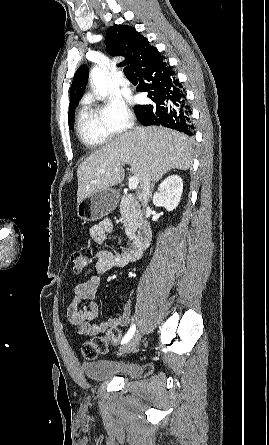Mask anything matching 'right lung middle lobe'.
<instances>
[{
	"label": "right lung middle lobe",
	"instance_id": "obj_1",
	"mask_svg": "<svg viewBox=\"0 0 269 445\" xmlns=\"http://www.w3.org/2000/svg\"><path fill=\"white\" fill-rule=\"evenodd\" d=\"M76 104L69 107V128L73 129V119H74V112H75Z\"/></svg>",
	"mask_w": 269,
	"mask_h": 445
}]
</instances>
